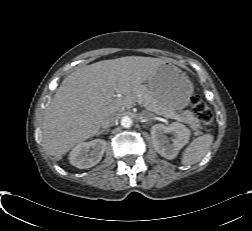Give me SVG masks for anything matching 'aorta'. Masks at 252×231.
<instances>
[{"instance_id":"obj_1","label":"aorta","mask_w":252,"mask_h":231,"mask_svg":"<svg viewBox=\"0 0 252 231\" xmlns=\"http://www.w3.org/2000/svg\"><path fill=\"white\" fill-rule=\"evenodd\" d=\"M121 124L125 128H129L132 125V120L129 116H123L121 119Z\"/></svg>"}]
</instances>
